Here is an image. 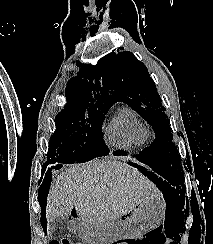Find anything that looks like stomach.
Listing matches in <instances>:
<instances>
[{"label": "stomach", "instance_id": "obj_1", "mask_svg": "<svg viewBox=\"0 0 213 244\" xmlns=\"http://www.w3.org/2000/svg\"><path fill=\"white\" fill-rule=\"evenodd\" d=\"M163 220L160 203L156 200H145L137 203L120 221H86L80 224L74 233L89 237L87 244H114V239L144 235L155 229Z\"/></svg>", "mask_w": 213, "mask_h": 244}]
</instances>
